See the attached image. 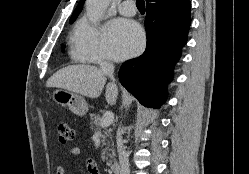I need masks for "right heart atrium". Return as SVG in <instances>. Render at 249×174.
<instances>
[{
    "label": "right heart atrium",
    "mask_w": 249,
    "mask_h": 174,
    "mask_svg": "<svg viewBox=\"0 0 249 174\" xmlns=\"http://www.w3.org/2000/svg\"><path fill=\"white\" fill-rule=\"evenodd\" d=\"M73 54L78 61L104 63L107 57L102 43L101 28L88 20H83L73 40Z\"/></svg>",
    "instance_id": "right-heart-atrium-1"
}]
</instances>
